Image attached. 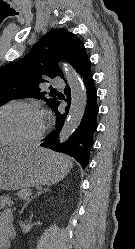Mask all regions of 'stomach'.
I'll list each match as a JSON object with an SVG mask.
<instances>
[{"label": "stomach", "instance_id": "0dacf381", "mask_svg": "<svg viewBox=\"0 0 135 249\" xmlns=\"http://www.w3.org/2000/svg\"><path fill=\"white\" fill-rule=\"evenodd\" d=\"M72 162L39 147H0V189L17 190L50 185L64 178Z\"/></svg>", "mask_w": 135, "mask_h": 249}]
</instances>
